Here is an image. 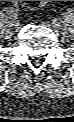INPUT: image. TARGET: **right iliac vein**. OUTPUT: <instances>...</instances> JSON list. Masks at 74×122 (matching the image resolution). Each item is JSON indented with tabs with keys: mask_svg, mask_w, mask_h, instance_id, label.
Segmentation results:
<instances>
[{
	"mask_svg": "<svg viewBox=\"0 0 74 122\" xmlns=\"http://www.w3.org/2000/svg\"><path fill=\"white\" fill-rule=\"evenodd\" d=\"M10 8H8L7 10H9ZM6 10V11H7ZM13 29L15 30V31H19V29H20V23L18 22V21H16V22H14L13 24Z\"/></svg>",
	"mask_w": 74,
	"mask_h": 122,
	"instance_id": "1",
	"label": "right iliac vein"
}]
</instances>
